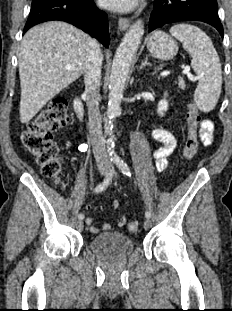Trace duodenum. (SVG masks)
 I'll list each match as a JSON object with an SVG mask.
<instances>
[{
  "mask_svg": "<svg viewBox=\"0 0 232 311\" xmlns=\"http://www.w3.org/2000/svg\"><path fill=\"white\" fill-rule=\"evenodd\" d=\"M74 110L78 118L83 119L85 115V108L84 105L79 97H75L74 99Z\"/></svg>",
  "mask_w": 232,
  "mask_h": 311,
  "instance_id": "duodenum-1",
  "label": "duodenum"
}]
</instances>
